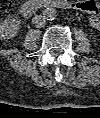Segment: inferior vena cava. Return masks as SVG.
Listing matches in <instances>:
<instances>
[{"instance_id":"obj_1","label":"inferior vena cava","mask_w":100,"mask_h":118,"mask_svg":"<svg viewBox=\"0 0 100 118\" xmlns=\"http://www.w3.org/2000/svg\"><path fill=\"white\" fill-rule=\"evenodd\" d=\"M32 24L36 27V28H41L43 26H45L46 24V19L44 16L42 15H35L32 19Z\"/></svg>"}]
</instances>
